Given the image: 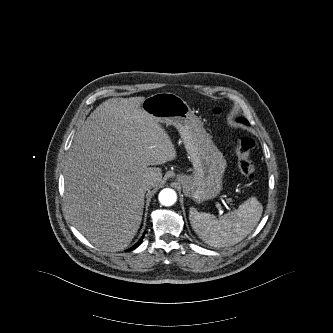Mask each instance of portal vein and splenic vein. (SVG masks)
<instances>
[{"instance_id": "18ae733b", "label": "portal vein and splenic vein", "mask_w": 333, "mask_h": 333, "mask_svg": "<svg viewBox=\"0 0 333 333\" xmlns=\"http://www.w3.org/2000/svg\"><path fill=\"white\" fill-rule=\"evenodd\" d=\"M216 207L220 210L221 209V205L218 203L216 204Z\"/></svg>"}]
</instances>
